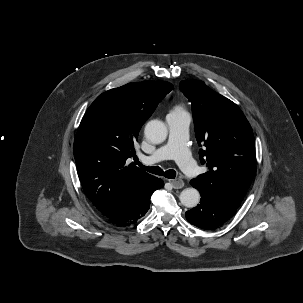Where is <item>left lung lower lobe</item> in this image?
I'll list each match as a JSON object with an SVG mask.
<instances>
[{
	"instance_id": "left-lung-lower-lobe-1",
	"label": "left lung lower lobe",
	"mask_w": 303,
	"mask_h": 303,
	"mask_svg": "<svg viewBox=\"0 0 303 303\" xmlns=\"http://www.w3.org/2000/svg\"><path fill=\"white\" fill-rule=\"evenodd\" d=\"M190 184L198 189L194 184ZM201 200L197 207L186 212L189 223L201 229H213L223 225L237 211L238 207L227 199L208 191H200Z\"/></svg>"
}]
</instances>
